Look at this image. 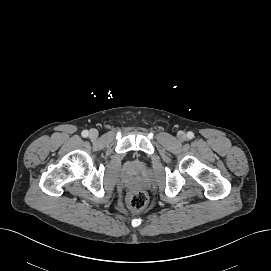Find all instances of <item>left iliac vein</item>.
Returning a JSON list of instances; mask_svg holds the SVG:
<instances>
[{"instance_id":"1","label":"left iliac vein","mask_w":271,"mask_h":271,"mask_svg":"<svg viewBox=\"0 0 271 271\" xmlns=\"http://www.w3.org/2000/svg\"><path fill=\"white\" fill-rule=\"evenodd\" d=\"M177 137L180 141H184L186 139V134L184 132H179Z\"/></svg>"}]
</instances>
